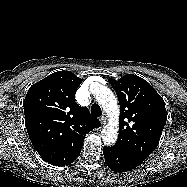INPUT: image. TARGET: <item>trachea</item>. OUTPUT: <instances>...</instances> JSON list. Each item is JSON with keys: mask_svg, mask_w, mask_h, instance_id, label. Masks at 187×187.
Masks as SVG:
<instances>
[{"mask_svg": "<svg viewBox=\"0 0 187 187\" xmlns=\"http://www.w3.org/2000/svg\"><path fill=\"white\" fill-rule=\"evenodd\" d=\"M91 114L95 117H99L102 115V110L98 104H93L91 106Z\"/></svg>", "mask_w": 187, "mask_h": 187, "instance_id": "3493384b", "label": "trachea"}]
</instances>
